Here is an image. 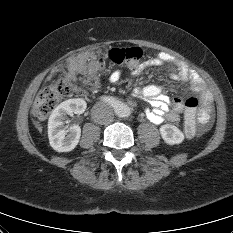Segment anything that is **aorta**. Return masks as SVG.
I'll return each instance as SVG.
<instances>
[{
    "instance_id": "762f6f07",
    "label": "aorta",
    "mask_w": 233,
    "mask_h": 233,
    "mask_svg": "<svg viewBox=\"0 0 233 233\" xmlns=\"http://www.w3.org/2000/svg\"><path fill=\"white\" fill-rule=\"evenodd\" d=\"M131 113L130 108L127 105H123L119 111L121 117H127Z\"/></svg>"
}]
</instances>
